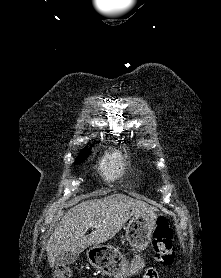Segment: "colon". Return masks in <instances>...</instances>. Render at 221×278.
Segmentation results:
<instances>
[{"label":"colon","instance_id":"colon-1","mask_svg":"<svg viewBox=\"0 0 221 278\" xmlns=\"http://www.w3.org/2000/svg\"><path fill=\"white\" fill-rule=\"evenodd\" d=\"M172 229L164 217L157 219L152 238V246L157 261L163 266H169L174 262L175 251L172 244ZM150 275L157 278L155 271H149ZM74 268L69 265L57 266L53 271V278H72Z\"/></svg>","mask_w":221,"mask_h":278}]
</instances>
